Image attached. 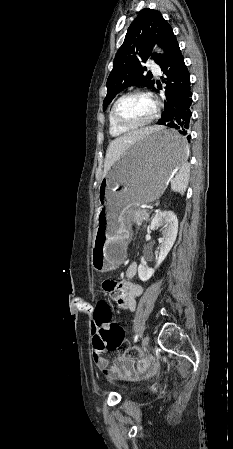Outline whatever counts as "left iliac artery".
<instances>
[{
  "instance_id": "1",
  "label": "left iliac artery",
  "mask_w": 233,
  "mask_h": 449,
  "mask_svg": "<svg viewBox=\"0 0 233 449\" xmlns=\"http://www.w3.org/2000/svg\"><path fill=\"white\" fill-rule=\"evenodd\" d=\"M138 338H139V335L136 334V335L134 336V342H137Z\"/></svg>"
}]
</instances>
